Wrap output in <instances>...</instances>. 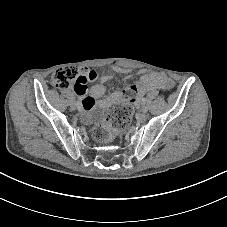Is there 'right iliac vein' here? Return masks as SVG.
<instances>
[{
	"mask_svg": "<svg viewBox=\"0 0 227 227\" xmlns=\"http://www.w3.org/2000/svg\"><path fill=\"white\" fill-rule=\"evenodd\" d=\"M76 106L77 105L74 102L71 104V108L74 109V110L76 109Z\"/></svg>",
	"mask_w": 227,
	"mask_h": 227,
	"instance_id": "obj_1",
	"label": "right iliac vein"
}]
</instances>
